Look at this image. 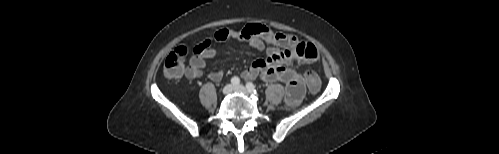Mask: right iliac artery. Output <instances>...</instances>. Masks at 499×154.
<instances>
[{"label": "right iliac artery", "instance_id": "82829eb1", "mask_svg": "<svg viewBox=\"0 0 499 154\" xmlns=\"http://www.w3.org/2000/svg\"><path fill=\"white\" fill-rule=\"evenodd\" d=\"M231 83L233 85H238L240 83V79L236 76H234L232 79H231Z\"/></svg>", "mask_w": 499, "mask_h": 154}]
</instances>
